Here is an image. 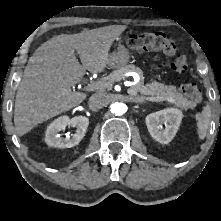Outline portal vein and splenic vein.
I'll use <instances>...</instances> for the list:
<instances>
[{
  "label": "portal vein and splenic vein",
  "mask_w": 221,
  "mask_h": 221,
  "mask_svg": "<svg viewBox=\"0 0 221 221\" xmlns=\"http://www.w3.org/2000/svg\"><path fill=\"white\" fill-rule=\"evenodd\" d=\"M124 85L129 87V86H132L134 85V83L130 82V81H125L124 82ZM105 86V84L102 82V81H98V82H92L90 84H88L86 87H85V90L86 91H94V90H99V89H103ZM128 92L131 94V95H135L134 92L129 89ZM147 100L149 101H152V102H159V101H162L164 100L162 97H150L148 98ZM166 101L170 102L171 100L166 98L165 99Z\"/></svg>",
  "instance_id": "portal-vein-and-splenic-vein-1"
}]
</instances>
